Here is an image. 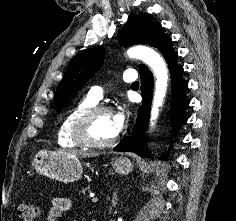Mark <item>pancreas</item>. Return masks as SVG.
<instances>
[{"instance_id": "pancreas-1", "label": "pancreas", "mask_w": 236, "mask_h": 221, "mask_svg": "<svg viewBox=\"0 0 236 221\" xmlns=\"http://www.w3.org/2000/svg\"><path fill=\"white\" fill-rule=\"evenodd\" d=\"M86 190H87V189L83 188V189L80 191V193L85 194Z\"/></svg>"}]
</instances>
